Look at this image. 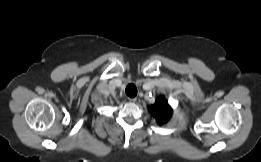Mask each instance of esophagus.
<instances>
[{"label": "esophagus", "mask_w": 261, "mask_h": 162, "mask_svg": "<svg viewBox=\"0 0 261 162\" xmlns=\"http://www.w3.org/2000/svg\"><path fill=\"white\" fill-rule=\"evenodd\" d=\"M128 100L130 101V102H132V103H134V102H136V98H128Z\"/></svg>", "instance_id": "esophagus-1"}]
</instances>
